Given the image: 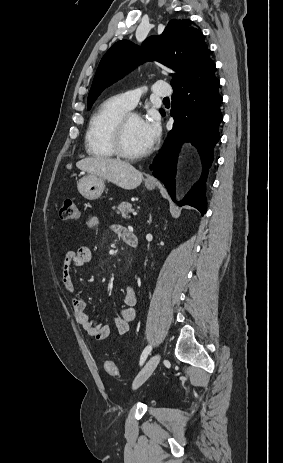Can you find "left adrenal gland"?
Returning <instances> with one entry per match:
<instances>
[{"label": "left adrenal gland", "mask_w": 283, "mask_h": 463, "mask_svg": "<svg viewBox=\"0 0 283 463\" xmlns=\"http://www.w3.org/2000/svg\"><path fill=\"white\" fill-rule=\"evenodd\" d=\"M151 222H152V215L150 214V215H149L148 223L151 224Z\"/></svg>", "instance_id": "obj_1"}]
</instances>
